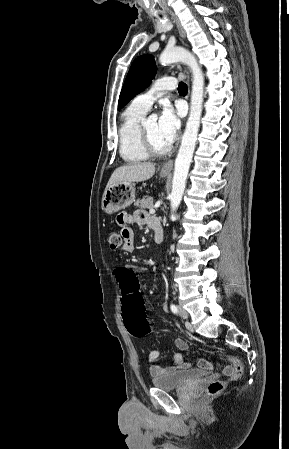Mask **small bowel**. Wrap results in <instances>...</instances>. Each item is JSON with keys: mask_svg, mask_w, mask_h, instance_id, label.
<instances>
[{"mask_svg": "<svg viewBox=\"0 0 289 449\" xmlns=\"http://www.w3.org/2000/svg\"><path fill=\"white\" fill-rule=\"evenodd\" d=\"M160 221L157 217L148 214L145 211H135L134 213L123 212L118 216V224L121 226V234L124 239L122 246V251L126 253H131L134 251V232L128 226L130 224L145 225L153 229L155 224H159ZM120 268H131L130 266H124ZM132 269V268H131ZM133 272V270H132ZM118 281V280H117ZM176 347L180 352L176 353L173 358V362L168 366L162 365H150V373L152 376L161 375L170 371L177 369H185L190 367V363L183 360V352L187 350L188 344L181 338L175 340ZM161 352L158 350H153L149 353L147 362L152 364L158 360ZM197 365L202 369H211L213 367L212 362L206 359H199ZM220 370L223 375H230L233 372V367L230 365L220 366Z\"/></svg>", "mask_w": 289, "mask_h": 449, "instance_id": "obj_1", "label": "small bowel"}]
</instances>
